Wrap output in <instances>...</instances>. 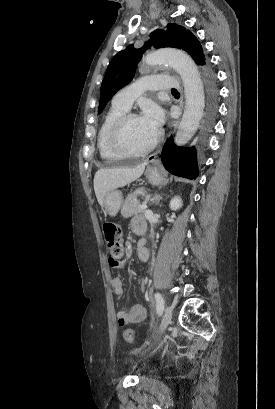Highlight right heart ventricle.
Returning <instances> with one entry per match:
<instances>
[{
    "label": "right heart ventricle",
    "instance_id": "right-heart-ventricle-1",
    "mask_svg": "<svg viewBox=\"0 0 275 409\" xmlns=\"http://www.w3.org/2000/svg\"><path fill=\"white\" fill-rule=\"evenodd\" d=\"M126 113L127 110L112 105L106 114L97 137V146L100 157H119L114 154L110 148V136L114 123Z\"/></svg>",
    "mask_w": 275,
    "mask_h": 409
}]
</instances>
